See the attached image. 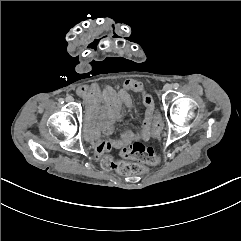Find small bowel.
<instances>
[{
	"label": "small bowel",
	"instance_id": "obj_1",
	"mask_svg": "<svg viewBox=\"0 0 241 241\" xmlns=\"http://www.w3.org/2000/svg\"><path fill=\"white\" fill-rule=\"evenodd\" d=\"M142 94L145 107V116L139 132L127 130L120 137L114 139L100 138L101 134L106 136L114 132L115 124L126 113L131 104L129 91ZM79 96L83 97L88 111V139L96 149V157L111 149L125 151L136 142H146L151 137V127L156 119L154 100L146 93L143 85L134 80H128L124 86L115 90L108 86L100 89L97 85L80 87L77 90Z\"/></svg>",
	"mask_w": 241,
	"mask_h": 241
}]
</instances>
